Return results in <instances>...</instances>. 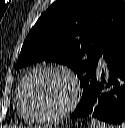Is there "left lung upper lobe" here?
Returning a JSON list of instances; mask_svg holds the SVG:
<instances>
[{"instance_id":"5c2ea615","label":"left lung upper lobe","mask_w":125,"mask_h":128,"mask_svg":"<svg viewBox=\"0 0 125 128\" xmlns=\"http://www.w3.org/2000/svg\"><path fill=\"white\" fill-rule=\"evenodd\" d=\"M124 28L122 0H56L30 30L16 69L40 61L64 64L82 86Z\"/></svg>"}]
</instances>
